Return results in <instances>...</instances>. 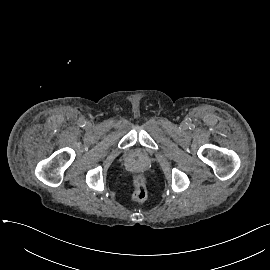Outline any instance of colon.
<instances>
[{
	"instance_id": "1",
	"label": "colon",
	"mask_w": 270,
	"mask_h": 270,
	"mask_svg": "<svg viewBox=\"0 0 270 270\" xmlns=\"http://www.w3.org/2000/svg\"><path fill=\"white\" fill-rule=\"evenodd\" d=\"M133 193L132 199L136 202L143 201L148 194L147 182L142 175H134L132 177Z\"/></svg>"
}]
</instances>
